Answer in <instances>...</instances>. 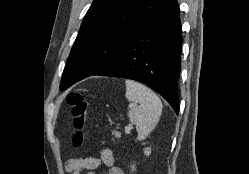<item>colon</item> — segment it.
<instances>
[{"label":"colon","instance_id":"obj_1","mask_svg":"<svg viewBox=\"0 0 249 174\" xmlns=\"http://www.w3.org/2000/svg\"><path fill=\"white\" fill-rule=\"evenodd\" d=\"M67 104L71 107L75 132L73 134V145L80 148L84 145L86 137V121L88 104L83 93L70 92L67 95Z\"/></svg>","mask_w":249,"mask_h":174}]
</instances>
